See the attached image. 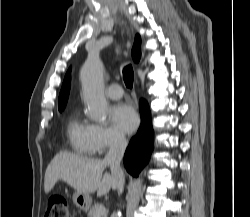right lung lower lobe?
I'll return each instance as SVG.
<instances>
[{"instance_id": "1", "label": "right lung lower lobe", "mask_w": 250, "mask_h": 217, "mask_svg": "<svg viewBox=\"0 0 250 217\" xmlns=\"http://www.w3.org/2000/svg\"><path fill=\"white\" fill-rule=\"evenodd\" d=\"M140 114L141 125L137 134L131 139L124 155V165L133 176H138L148 163L153 150L151 113L147 102L143 99L140 101Z\"/></svg>"}]
</instances>
